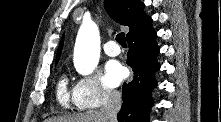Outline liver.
Here are the masks:
<instances>
[{
    "mask_svg": "<svg viewBox=\"0 0 221 122\" xmlns=\"http://www.w3.org/2000/svg\"><path fill=\"white\" fill-rule=\"evenodd\" d=\"M45 122H108L101 111L91 110L73 117L48 118Z\"/></svg>",
    "mask_w": 221,
    "mask_h": 122,
    "instance_id": "6515ba94",
    "label": "liver"
}]
</instances>
